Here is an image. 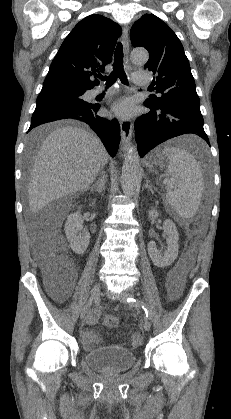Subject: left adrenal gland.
<instances>
[{"label": "left adrenal gland", "instance_id": "left-adrenal-gland-1", "mask_svg": "<svg viewBox=\"0 0 231 419\" xmlns=\"http://www.w3.org/2000/svg\"><path fill=\"white\" fill-rule=\"evenodd\" d=\"M144 188H147L152 194H154L152 185H149V180L148 179L146 180V184H145Z\"/></svg>", "mask_w": 231, "mask_h": 419}]
</instances>
